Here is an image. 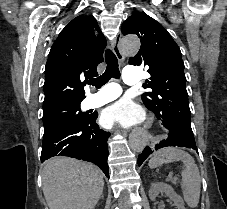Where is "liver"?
<instances>
[{"mask_svg":"<svg viewBox=\"0 0 227 209\" xmlns=\"http://www.w3.org/2000/svg\"><path fill=\"white\" fill-rule=\"evenodd\" d=\"M104 175L90 163L54 157L44 163L43 193L49 209H95L104 189Z\"/></svg>","mask_w":227,"mask_h":209,"instance_id":"obj_1","label":"liver"}]
</instances>
